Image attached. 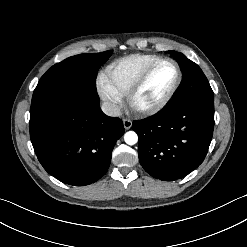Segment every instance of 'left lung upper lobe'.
I'll return each mask as SVG.
<instances>
[{
	"label": "left lung upper lobe",
	"mask_w": 247,
	"mask_h": 247,
	"mask_svg": "<svg viewBox=\"0 0 247 247\" xmlns=\"http://www.w3.org/2000/svg\"><path fill=\"white\" fill-rule=\"evenodd\" d=\"M179 62L184 81L183 85L165 107L178 108L197 101H213L214 93L201 68L185 55L179 52L168 51Z\"/></svg>",
	"instance_id": "1"
}]
</instances>
